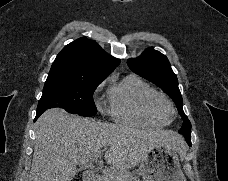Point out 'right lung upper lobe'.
<instances>
[{"label": "right lung upper lobe", "instance_id": "obj_1", "mask_svg": "<svg viewBox=\"0 0 228 181\" xmlns=\"http://www.w3.org/2000/svg\"><path fill=\"white\" fill-rule=\"evenodd\" d=\"M120 63L86 37L66 45L50 69L49 80L67 82L104 80Z\"/></svg>", "mask_w": 228, "mask_h": 181}]
</instances>
